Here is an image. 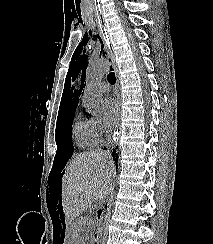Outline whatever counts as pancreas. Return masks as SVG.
I'll return each instance as SVG.
<instances>
[{
  "instance_id": "1",
  "label": "pancreas",
  "mask_w": 213,
  "mask_h": 244,
  "mask_svg": "<svg viewBox=\"0 0 213 244\" xmlns=\"http://www.w3.org/2000/svg\"><path fill=\"white\" fill-rule=\"evenodd\" d=\"M81 223L79 222L78 227H80Z\"/></svg>"
}]
</instances>
